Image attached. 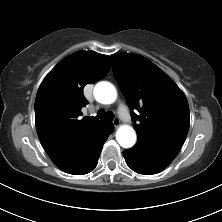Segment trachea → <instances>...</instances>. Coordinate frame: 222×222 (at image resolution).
I'll return each instance as SVG.
<instances>
[{"label":"trachea","instance_id":"obj_1","mask_svg":"<svg viewBox=\"0 0 222 222\" xmlns=\"http://www.w3.org/2000/svg\"><path fill=\"white\" fill-rule=\"evenodd\" d=\"M97 117L98 118L106 117L108 120H113L114 119V115H113L112 112L108 111V112L105 113V111L103 109H101L97 112Z\"/></svg>","mask_w":222,"mask_h":222}]
</instances>
